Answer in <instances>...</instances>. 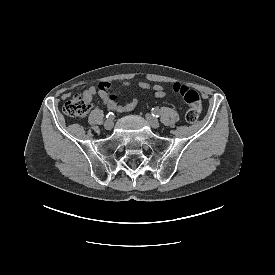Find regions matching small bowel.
<instances>
[{
    "mask_svg": "<svg viewBox=\"0 0 275 275\" xmlns=\"http://www.w3.org/2000/svg\"><path fill=\"white\" fill-rule=\"evenodd\" d=\"M130 81H124L122 83V86L127 87L130 86ZM112 87V82L110 81H102L97 86H90L88 89H86L83 93V95L87 98L92 99L93 96H99L105 106L108 108L115 110L116 112H129L135 109V107L138 104V99L134 98L129 103L125 105H119L118 97L117 95L110 92V89ZM138 87L142 90L146 91H152L154 93V96L156 98H162L167 95L166 89L161 84H151L147 81H140L138 82Z\"/></svg>",
    "mask_w": 275,
    "mask_h": 275,
    "instance_id": "small-bowel-1",
    "label": "small bowel"
}]
</instances>
